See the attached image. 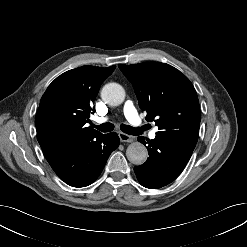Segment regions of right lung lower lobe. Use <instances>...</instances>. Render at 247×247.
<instances>
[{
  "mask_svg": "<svg viewBox=\"0 0 247 247\" xmlns=\"http://www.w3.org/2000/svg\"><path fill=\"white\" fill-rule=\"evenodd\" d=\"M119 143L115 132L88 140L69 141L61 145L47 161L65 183L85 187L98 178Z\"/></svg>",
  "mask_w": 247,
  "mask_h": 247,
  "instance_id": "obj_1",
  "label": "right lung lower lobe"
}]
</instances>
